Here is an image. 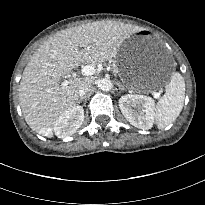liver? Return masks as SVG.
I'll use <instances>...</instances> for the list:
<instances>
[{
    "instance_id": "1",
    "label": "liver",
    "mask_w": 205,
    "mask_h": 205,
    "mask_svg": "<svg viewBox=\"0 0 205 205\" xmlns=\"http://www.w3.org/2000/svg\"><path fill=\"white\" fill-rule=\"evenodd\" d=\"M138 30L122 22L95 21L62 30L44 42L24 69L19 86L21 109L30 128L52 138L56 120L75 107L79 86L88 79L60 84L61 77L81 62L101 63L115 57L122 43Z\"/></svg>"
}]
</instances>
